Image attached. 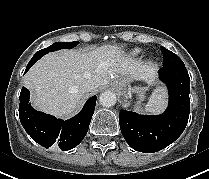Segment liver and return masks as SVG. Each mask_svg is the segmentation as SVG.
Instances as JSON below:
<instances>
[{
    "mask_svg": "<svg viewBox=\"0 0 209 179\" xmlns=\"http://www.w3.org/2000/svg\"><path fill=\"white\" fill-rule=\"evenodd\" d=\"M156 68L135 61L118 46L105 45L95 50H61L37 61L24 77L31 91L32 105L58 117L75 113L85 94L81 85L94 82L96 91L115 78L127 76L131 81H155Z\"/></svg>",
    "mask_w": 209,
    "mask_h": 179,
    "instance_id": "6515ba94",
    "label": "liver"
}]
</instances>
